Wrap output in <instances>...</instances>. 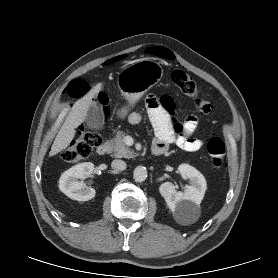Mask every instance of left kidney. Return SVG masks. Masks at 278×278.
Listing matches in <instances>:
<instances>
[{"label":"left kidney","instance_id":"1","mask_svg":"<svg viewBox=\"0 0 278 278\" xmlns=\"http://www.w3.org/2000/svg\"><path fill=\"white\" fill-rule=\"evenodd\" d=\"M178 170L183 179L189 180L184 192L176 191L171 182L160 185L159 192L165 199L169 209L177 216L198 209L203 200L207 183L204 176L193 166L181 164Z\"/></svg>","mask_w":278,"mask_h":278}]
</instances>
